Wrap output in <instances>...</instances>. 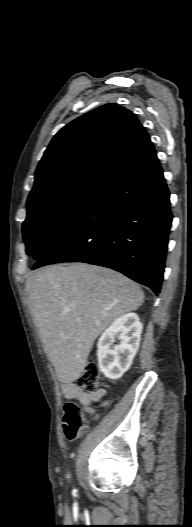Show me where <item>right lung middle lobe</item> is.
Listing matches in <instances>:
<instances>
[{"mask_svg": "<svg viewBox=\"0 0 192 527\" xmlns=\"http://www.w3.org/2000/svg\"><path fill=\"white\" fill-rule=\"evenodd\" d=\"M106 182L88 178L28 198L22 227L27 254L41 259L80 218Z\"/></svg>", "mask_w": 192, "mask_h": 527, "instance_id": "right-lung-middle-lobe-1", "label": "right lung middle lobe"}]
</instances>
